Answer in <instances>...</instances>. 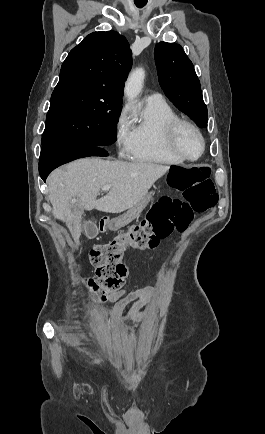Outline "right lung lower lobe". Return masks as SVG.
I'll return each instance as SVG.
<instances>
[{"mask_svg":"<svg viewBox=\"0 0 265 434\" xmlns=\"http://www.w3.org/2000/svg\"><path fill=\"white\" fill-rule=\"evenodd\" d=\"M89 156H108V153L99 146L68 147L49 145L41 149L39 159V173L45 182L47 176L58 166L75 159Z\"/></svg>","mask_w":265,"mask_h":434,"instance_id":"obj_1","label":"right lung lower lobe"}]
</instances>
